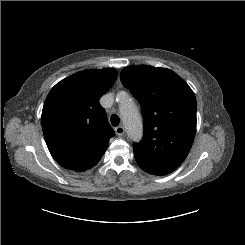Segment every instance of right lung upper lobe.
I'll return each mask as SVG.
<instances>
[{"instance_id":"right-lung-upper-lobe-1","label":"right lung upper lobe","mask_w":245,"mask_h":245,"mask_svg":"<svg viewBox=\"0 0 245 245\" xmlns=\"http://www.w3.org/2000/svg\"><path fill=\"white\" fill-rule=\"evenodd\" d=\"M116 78L113 68L84 70L63 79L49 92L42 110V129L51 155L61 166L85 171L106 151L114 131L99 99Z\"/></svg>"}]
</instances>
